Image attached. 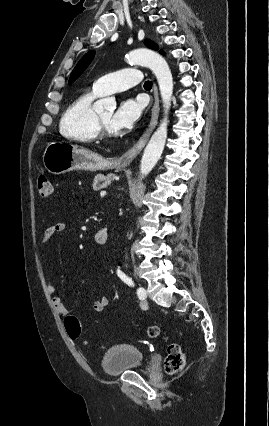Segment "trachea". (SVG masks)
Instances as JSON below:
<instances>
[{
    "label": "trachea",
    "mask_w": 269,
    "mask_h": 426,
    "mask_svg": "<svg viewBox=\"0 0 269 426\" xmlns=\"http://www.w3.org/2000/svg\"><path fill=\"white\" fill-rule=\"evenodd\" d=\"M152 87V82L151 81H146L144 83V88H151Z\"/></svg>",
    "instance_id": "1"
}]
</instances>
